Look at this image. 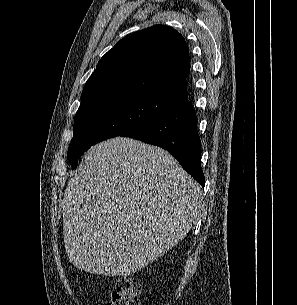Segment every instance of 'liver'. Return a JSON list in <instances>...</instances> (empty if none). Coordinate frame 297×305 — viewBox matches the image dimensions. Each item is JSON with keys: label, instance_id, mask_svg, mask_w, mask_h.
Returning <instances> with one entry per match:
<instances>
[{"label": "liver", "instance_id": "1", "mask_svg": "<svg viewBox=\"0 0 297 305\" xmlns=\"http://www.w3.org/2000/svg\"><path fill=\"white\" fill-rule=\"evenodd\" d=\"M200 185L164 149L116 137L87 152L63 198L66 254L78 269L127 276L189 232Z\"/></svg>", "mask_w": 297, "mask_h": 305}]
</instances>
